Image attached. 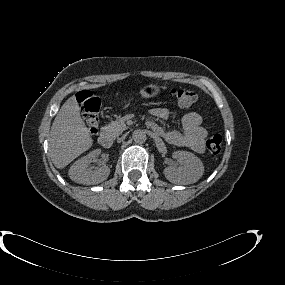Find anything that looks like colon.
Returning a JSON list of instances; mask_svg holds the SVG:
<instances>
[{
	"instance_id": "5ec220e1",
	"label": "colon",
	"mask_w": 285,
	"mask_h": 285,
	"mask_svg": "<svg viewBox=\"0 0 285 285\" xmlns=\"http://www.w3.org/2000/svg\"><path fill=\"white\" fill-rule=\"evenodd\" d=\"M171 95L176 99L181 107H189L195 104L198 96L195 91L186 88H172ZM77 100L81 106V110L89 131L92 134L98 132L99 129V109L100 100L90 91H81ZM206 147L212 154H218L222 147V137L219 134L211 136L207 142Z\"/></svg>"
}]
</instances>
